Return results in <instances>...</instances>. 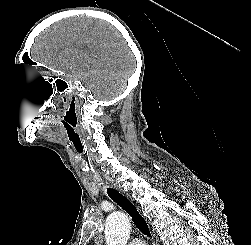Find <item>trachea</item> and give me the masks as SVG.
<instances>
[{
  "mask_svg": "<svg viewBox=\"0 0 251 245\" xmlns=\"http://www.w3.org/2000/svg\"><path fill=\"white\" fill-rule=\"evenodd\" d=\"M107 193L115 203H117L123 210H125L132 217V220L136 225V227L139 229V231L145 234L146 236L150 237L151 233L147 225V222L138 212L135 205L115 189L108 188Z\"/></svg>",
  "mask_w": 251,
  "mask_h": 245,
  "instance_id": "obj_1",
  "label": "trachea"
}]
</instances>
